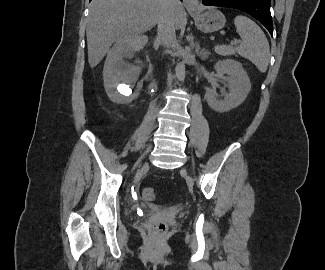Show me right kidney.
<instances>
[{"mask_svg":"<svg viewBox=\"0 0 325 270\" xmlns=\"http://www.w3.org/2000/svg\"><path fill=\"white\" fill-rule=\"evenodd\" d=\"M144 40L146 37L140 38V41ZM140 49L139 41H121L109 51L103 79L106 93L112 102L127 104L138 97L144 82V72L148 68L139 57Z\"/></svg>","mask_w":325,"mask_h":270,"instance_id":"1","label":"right kidney"}]
</instances>
